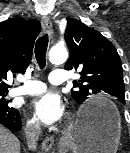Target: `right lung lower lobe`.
Segmentation results:
<instances>
[{
  "label": "right lung lower lobe",
  "mask_w": 130,
  "mask_h": 153,
  "mask_svg": "<svg viewBox=\"0 0 130 153\" xmlns=\"http://www.w3.org/2000/svg\"><path fill=\"white\" fill-rule=\"evenodd\" d=\"M0 124H3L10 131L15 132L21 129V119L19 111L9 110L4 107H0Z\"/></svg>",
  "instance_id": "right-lung-lower-lobe-1"
}]
</instances>
